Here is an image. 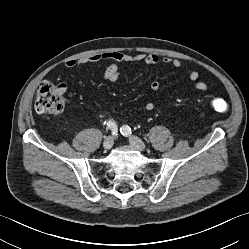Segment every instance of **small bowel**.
Instances as JSON below:
<instances>
[{
    "instance_id": "1",
    "label": "small bowel",
    "mask_w": 249,
    "mask_h": 249,
    "mask_svg": "<svg viewBox=\"0 0 249 249\" xmlns=\"http://www.w3.org/2000/svg\"><path fill=\"white\" fill-rule=\"evenodd\" d=\"M101 61L109 62L108 66L103 72L102 77L104 80L110 82H115L121 77L123 71L119 67L120 64L144 63L146 65H157L159 63H165L170 64L175 69H181L183 67V62L177 58H161L156 54H147L143 52L131 55L118 50L85 56L78 60H68L66 62V67L75 68ZM199 77L200 75L197 70H191L188 74L189 80L193 83V89L198 92H206L208 90V84L204 81H199ZM150 89L152 91H158L160 89V83L158 81H152L150 83ZM62 90L63 92L66 90L65 84H62ZM144 108L147 111H152L155 108V104L154 102L149 101L145 104Z\"/></svg>"
}]
</instances>
